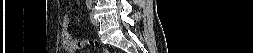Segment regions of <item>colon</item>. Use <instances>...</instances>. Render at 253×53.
Here are the masks:
<instances>
[{
    "label": "colon",
    "mask_w": 253,
    "mask_h": 53,
    "mask_svg": "<svg viewBox=\"0 0 253 53\" xmlns=\"http://www.w3.org/2000/svg\"><path fill=\"white\" fill-rule=\"evenodd\" d=\"M78 44H79V47L88 46V47H92V48H98L100 46V42L97 39H90L87 41H79Z\"/></svg>",
    "instance_id": "5ec220e1"
}]
</instances>
